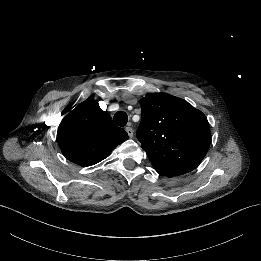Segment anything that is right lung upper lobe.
<instances>
[{"label":"right lung upper lobe","instance_id":"obj_1","mask_svg":"<svg viewBox=\"0 0 261 261\" xmlns=\"http://www.w3.org/2000/svg\"><path fill=\"white\" fill-rule=\"evenodd\" d=\"M127 139L128 134L113 124L94 99L85 100L67 114L57 132L63 155L85 167L102 161Z\"/></svg>","mask_w":261,"mask_h":261}]
</instances>
